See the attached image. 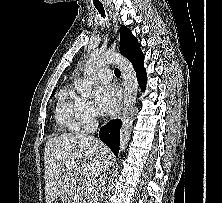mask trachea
Returning <instances> with one entry per match:
<instances>
[{"label":"trachea","mask_w":222,"mask_h":203,"mask_svg":"<svg viewBox=\"0 0 222 203\" xmlns=\"http://www.w3.org/2000/svg\"><path fill=\"white\" fill-rule=\"evenodd\" d=\"M96 9L101 14L102 17H105V10L102 4H95ZM114 73L117 77L121 76V72L118 68H115Z\"/></svg>","instance_id":"1"}]
</instances>
